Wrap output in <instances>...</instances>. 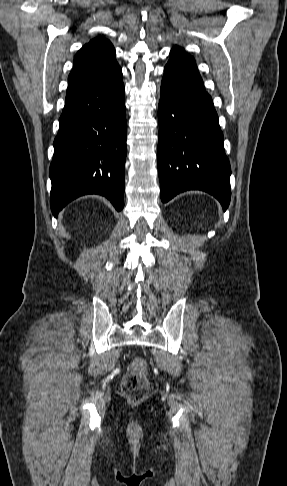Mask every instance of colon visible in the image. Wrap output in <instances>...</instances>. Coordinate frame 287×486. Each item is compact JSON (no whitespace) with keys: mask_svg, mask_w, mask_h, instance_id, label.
Instances as JSON below:
<instances>
[{"mask_svg":"<svg viewBox=\"0 0 287 486\" xmlns=\"http://www.w3.org/2000/svg\"><path fill=\"white\" fill-rule=\"evenodd\" d=\"M147 363L142 358H136L129 365L122 381V389L133 401H140L148 392Z\"/></svg>","mask_w":287,"mask_h":486,"instance_id":"obj_1","label":"colon"}]
</instances>
